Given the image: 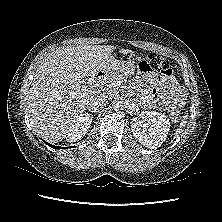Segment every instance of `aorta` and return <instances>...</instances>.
Segmentation results:
<instances>
[{"mask_svg":"<svg viewBox=\"0 0 222 222\" xmlns=\"http://www.w3.org/2000/svg\"><path fill=\"white\" fill-rule=\"evenodd\" d=\"M112 106H113L114 110L118 111V110H121L124 105H123V102L121 100L116 99V100L113 101Z\"/></svg>","mask_w":222,"mask_h":222,"instance_id":"aorta-1","label":"aorta"}]
</instances>
